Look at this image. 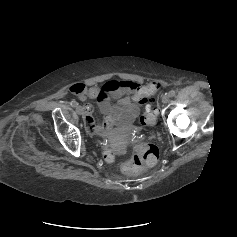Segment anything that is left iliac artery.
I'll use <instances>...</instances> for the list:
<instances>
[{"instance_id":"left-iliac-artery-1","label":"left iliac artery","mask_w":237,"mask_h":237,"mask_svg":"<svg viewBox=\"0 0 237 237\" xmlns=\"http://www.w3.org/2000/svg\"><path fill=\"white\" fill-rule=\"evenodd\" d=\"M175 91L174 90H171L169 93H168V95H169V97H173V96H175Z\"/></svg>"}]
</instances>
